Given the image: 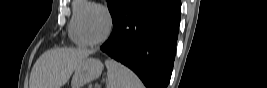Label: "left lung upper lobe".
<instances>
[{"instance_id":"5c2ea615","label":"left lung upper lobe","mask_w":267,"mask_h":88,"mask_svg":"<svg viewBox=\"0 0 267 88\" xmlns=\"http://www.w3.org/2000/svg\"><path fill=\"white\" fill-rule=\"evenodd\" d=\"M128 2L129 0H107V5L112 16L113 23L118 18Z\"/></svg>"}]
</instances>
